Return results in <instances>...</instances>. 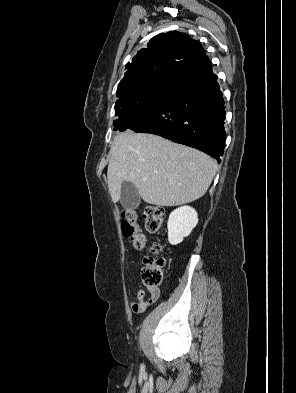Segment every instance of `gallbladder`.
<instances>
[{
	"label": "gallbladder",
	"instance_id": "obj_1",
	"mask_svg": "<svg viewBox=\"0 0 296 393\" xmlns=\"http://www.w3.org/2000/svg\"><path fill=\"white\" fill-rule=\"evenodd\" d=\"M120 203L125 209H134L139 206L140 195L137 188L131 182H123Z\"/></svg>",
	"mask_w": 296,
	"mask_h": 393
}]
</instances>
